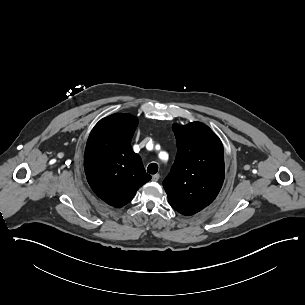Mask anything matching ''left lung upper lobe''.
I'll return each mask as SVG.
<instances>
[{"instance_id": "left-lung-upper-lobe-1", "label": "left lung upper lobe", "mask_w": 305, "mask_h": 305, "mask_svg": "<svg viewBox=\"0 0 305 305\" xmlns=\"http://www.w3.org/2000/svg\"><path fill=\"white\" fill-rule=\"evenodd\" d=\"M178 147L175 162L163 182L170 205L183 215H193L211 204L225 177L223 145L200 122L173 124Z\"/></svg>"}]
</instances>
